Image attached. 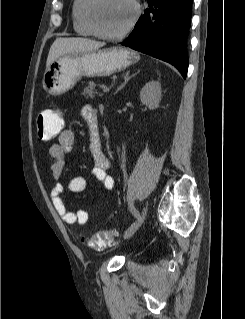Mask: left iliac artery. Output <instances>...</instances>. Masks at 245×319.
<instances>
[{"label":"left iliac artery","instance_id":"1","mask_svg":"<svg viewBox=\"0 0 245 319\" xmlns=\"http://www.w3.org/2000/svg\"><path fill=\"white\" fill-rule=\"evenodd\" d=\"M129 196H130V198L132 199V196H133V195H132L131 192H130ZM131 211H132V213H133V215H134L135 217H137V216L139 215L138 211L135 209L134 206H131Z\"/></svg>","mask_w":245,"mask_h":319}]
</instances>
